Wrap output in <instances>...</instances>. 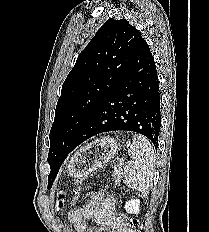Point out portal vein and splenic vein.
<instances>
[{
    "label": "portal vein and splenic vein",
    "instance_id": "1",
    "mask_svg": "<svg viewBox=\"0 0 209 232\" xmlns=\"http://www.w3.org/2000/svg\"><path fill=\"white\" fill-rule=\"evenodd\" d=\"M123 161H124V159H123V158H121V159H120V165H122V164H123Z\"/></svg>",
    "mask_w": 209,
    "mask_h": 232
}]
</instances>
